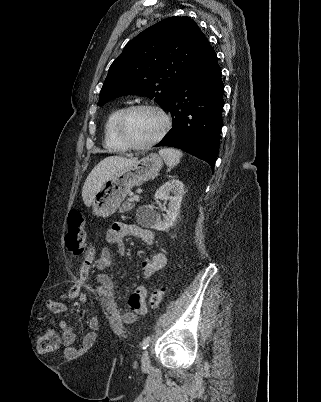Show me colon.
Masks as SVG:
<instances>
[{"label":"colon","instance_id":"1","mask_svg":"<svg viewBox=\"0 0 321 402\" xmlns=\"http://www.w3.org/2000/svg\"><path fill=\"white\" fill-rule=\"evenodd\" d=\"M67 233L65 235V245L67 249L76 257L81 258L78 270V278L74 285H71L68 293L74 298L78 294L85 293L86 279L89 276L90 269L95 256V249L86 240L85 218L81 211L72 210L66 218ZM164 291L161 288L155 289L149 299V305L156 308L163 299ZM131 308L139 313L146 309L145 300L140 299L136 302H130ZM61 345V336L54 328H48L39 338L38 349L43 353L56 351Z\"/></svg>","mask_w":321,"mask_h":402}]
</instances>
